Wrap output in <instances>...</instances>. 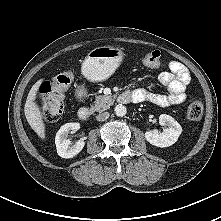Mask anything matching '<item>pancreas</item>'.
I'll return each instance as SVG.
<instances>
[{"instance_id":"pancreas-1","label":"pancreas","mask_w":221,"mask_h":221,"mask_svg":"<svg viewBox=\"0 0 221 221\" xmlns=\"http://www.w3.org/2000/svg\"><path fill=\"white\" fill-rule=\"evenodd\" d=\"M115 96L99 95L96 97L95 105L92 107L94 111H104L108 109L114 102Z\"/></svg>"}]
</instances>
